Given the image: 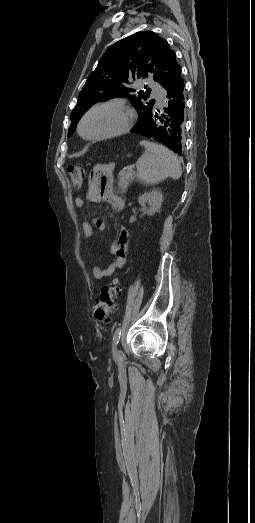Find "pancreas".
Masks as SVG:
<instances>
[{"mask_svg":"<svg viewBox=\"0 0 255 523\" xmlns=\"http://www.w3.org/2000/svg\"><path fill=\"white\" fill-rule=\"evenodd\" d=\"M131 180H134L133 173L120 172L118 182L119 192H117V194H125V192H127L128 184L131 182Z\"/></svg>","mask_w":255,"mask_h":523,"instance_id":"cf45deb5","label":"pancreas"}]
</instances>
